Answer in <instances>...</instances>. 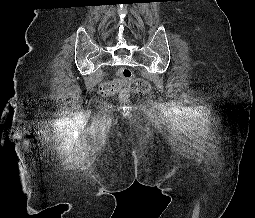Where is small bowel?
Instances as JSON below:
<instances>
[{"label": "small bowel", "mask_w": 255, "mask_h": 218, "mask_svg": "<svg viewBox=\"0 0 255 218\" xmlns=\"http://www.w3.org/2000/svg\"><path fill=\"white\" fill-rule=\"evenodd\" d=\"M112 83H115V84H116V82L114 81V82H111V83H106V84H104L103 86L108 85V84H112Z\"/></svg>", "instance_id": "obj_1"}]
</instances>
